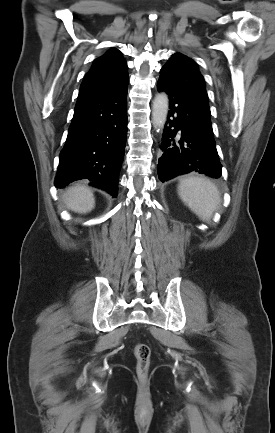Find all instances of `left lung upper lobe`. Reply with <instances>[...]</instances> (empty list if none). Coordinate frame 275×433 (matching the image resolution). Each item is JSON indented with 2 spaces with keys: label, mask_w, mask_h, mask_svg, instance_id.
Wrapping results in <instances>:
<instances>
[{
  "label": "left lung upper lobe",
  "mask_w": 275,
  "mask_h": 433,
  "mask_svg": "<svg viewBox=\"0 0 275 433\" xmlns=\"http://www.w3.org/2000/svg\"><path fill=\"white\" fill-rule=\"evenodd\" d=\"M160 73V79H164L172 87L180 90L198 104L210 121V108L204 78L192 59L183 54L175 53L169 59V62L162 67Z\"/></svg>",
  "instance_id": "5c2ea615"
}]
</instances>
